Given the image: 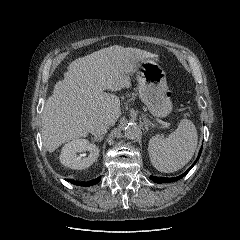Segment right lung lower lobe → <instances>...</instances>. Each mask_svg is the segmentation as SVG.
Segmentation results:
<instances>
[{
  "mask_svg": "<svg viewBox=\"0 0 240 240\" xmlns=\"http://www.w3.org/2000/svg\"><path fill=\"white\" fill-rule=\"evenodd\" d=\"M101 177L95 179V180H92L90 182H77V181H74V180H70V179H67L68 182L72 183V184H75V185H80V186H92V185H95L97 184L99 181H100Z\"/></svg>",
  "mask_w": 240,
  "mask_h": 240,
  "instance_id": "98d812e1",
  "label": "right lung lower lobe"
}]
</instances>
